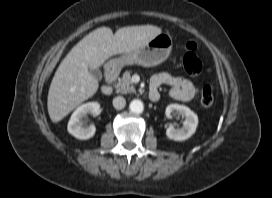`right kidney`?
Here are the masks:
<instances>
[{
  "label": "right kidney",
  "mask_w": 272,
  "mask_h": 198,
  "mask_svg": "<svg viewBox=\"0 0 272 198\" xmlns=\"http://www.w3.org/2000/svg\"><path fill=\"white\" fill-rule=\"evenodd\" d=\"M87 113H91L95 116L98 115L100 113V104L98 102H88L79 106L71 115L67 126L68 132L81 140H87L93 137L96 132L94 125L83 126V118Z\"/></svg>",
  "instance_id": "right-kidney-1"
}]
</instances>
